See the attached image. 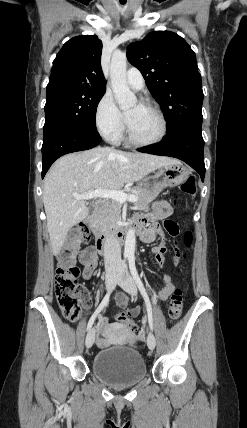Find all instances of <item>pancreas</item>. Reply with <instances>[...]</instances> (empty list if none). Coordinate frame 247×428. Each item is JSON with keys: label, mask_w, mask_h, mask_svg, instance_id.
<instances>
[{"label": "pancreas", "mask_w": 247, "mask_h": 428, "mask_svg": "<svg viewBox=\"0 0 247 428\" xmlns=\"http://www.w3.org/2000/svg\"><path fill=\"white\" fill-rule=\"evenodd\" d=\"M160 192L161 189H149L143 186H135L128 194L138 197L134 205L137 209L143 210L156 199ZM120 210V202L115 200L108 202L97 218L96 229L104 231L115 227L116 221L120 219Z\"/></svg>", "instance_id": "obj_1"}]
</instances>
